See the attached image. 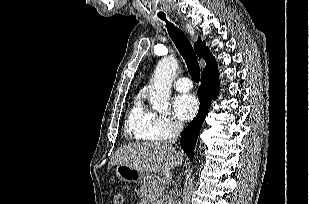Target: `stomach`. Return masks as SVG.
<instances>
[{"label":"stomach","instance_id":"obj_1","mask_svg":"<svg viewBox=\"0 0 309 204\" xmlns=\"http://www.w3.org/2000/svg\"><path fill=\"white\" fill-rule=\"evenodd\" d=\"M115 174L119 180L128 183H142L149 176L147 173L136 170L125 164L116 165Z\"/></svg>","mask_w":309,"mask_h":204}]
</instances>
